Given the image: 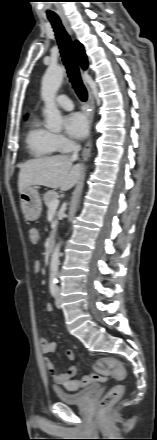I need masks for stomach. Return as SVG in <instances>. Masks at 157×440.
<instances>
[{
  "instance_id": "stomach-1",
  "label": "stomach",
  "mask_w": 157,
  "mask_h": 440,
  "mask_svg": "<svg viewBox=\"0 0 157 440\" xmlns=\"http://www.w3.org/2000/svg\"><path fill=\"white\" fill-rule=\"evenodd\" d=\"M20 205L25 218L37 220L42 212V203L35 187H28L20 194Z\"/></svg>"
}]
</instances>
